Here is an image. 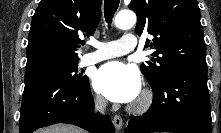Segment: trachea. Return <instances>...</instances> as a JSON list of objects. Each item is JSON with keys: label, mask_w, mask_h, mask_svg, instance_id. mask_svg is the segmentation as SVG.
Returning a JSON list of instances; mask_svg holds the SVG:
<instances>
[{"label": "trachea", "mask_w": 221, "mask_h": 133, "mask_svg": "<svg viewBox=\"0 0 221 133\" xmlns=\"http://www.w3.org/2000/svg\"><path fill=\"white\" fill-rule=\"evenodd\" d=\"M119 6V0H105L104 3V14L106 18V22L108 24H111L112 18L118 9Z\"/></svg>", "instance_id": "trachea-1"}]
</instances>
